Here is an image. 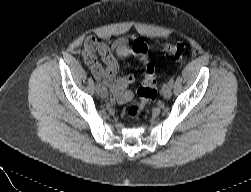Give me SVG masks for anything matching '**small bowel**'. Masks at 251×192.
<instances>
[{
  "mask_svg": "<svg viewBox=\"0 0 251 192\" xmlns=\"http://www.w3.org/2000/svg\"><path fill=\"white\" fill-rule=\"evenodd\" d=\"M83 56L95 79L106 85L119 103L131 99L132 95L127 88L135 79L131 74H119L118 59L136 56L144 63H149L146 44L141 40L130 43L125 38H119L112 45H108L90 36L84 43Z\"/></svg>",
  "mask_w": 251,
  "mask_h": 192,
  "instance_id": "c3829d8e",
  "label": "small bowel"
}]
</instances>
